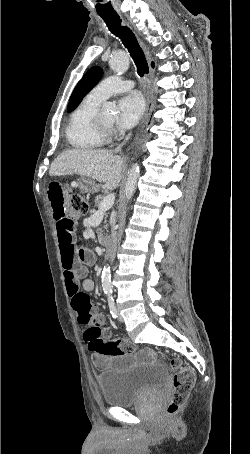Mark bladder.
<instances>
[{
  "mask_svg": "<svg viewBox=\"0 0 250 454\" xmlns=\"http://www.w3.org/2000/svg\"><path fill=\"white\" fill-rule=\"evenodd\" d=\"M165 378L166 371L160 364L149 363L100 373L98 384L105 404L128 407L159 390Z\"/></svg>",
  "mask_w": 250,
  "mask_h": 454,
  "instance_id": "bladder-1",
  "label": "bladder"
}]
</instances>
